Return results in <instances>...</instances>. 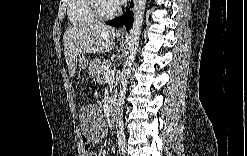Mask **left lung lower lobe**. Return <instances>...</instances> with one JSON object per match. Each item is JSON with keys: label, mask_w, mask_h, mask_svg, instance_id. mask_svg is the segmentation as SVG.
<instances>
[{"label": "left lung lower lobe", "mask_w": 247, "mask_h": 156, "mask_svg": "<svg viewBox=\"0 0 247 156\" xmlns=\"http://www.w3.org/2000/svg\"><path fill=\"white\" fill-rule=\"evenodd\" d=\"M133 23V18L131 20V11H128L125 15L116 18L114 20L108 21L107 24L114 26V27H120L122 25H126V29L127 31H129V29H131V25Z\"/></svg>", "instance_id": "1"}]
</instances>
